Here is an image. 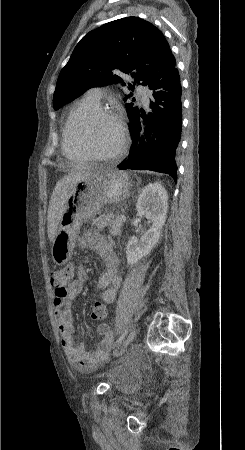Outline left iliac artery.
<instances>
[{"mask_svg":"<svg viewBox=\"0 0 245 450\" xmlns=\"http://www.w3.org/2000/svg\"><path fill=\"white\" fill-rule=\"evenodd\" d=\"M127 330L124 332V333H122L121 335H120V337L117 339V341L115 342V346H117V345H119L122 341H123V339L125 338V336L127 335Z\"/></svg>","mask_w":245,"mask_h":450,"instance_id":"1","label":"left iliac artery"}]
</instances>
